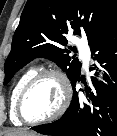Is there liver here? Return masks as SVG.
<instances>
[{"mask_svg": "<svg viewBox=\"0 0 117 136\" xmlns=\"http://www.w3.org/2000/svg\"><path fill=\"white\" fill-rule=\"evenodd\" d=\"M6 136H38V135L34 132H30V131L23 130V129H18V130H14V131L7 133Z\"/></svg>", "mask_w": 117, "mask_h": 136, "instance_id": "liver-1", "label": "liver"}]
</instances>
